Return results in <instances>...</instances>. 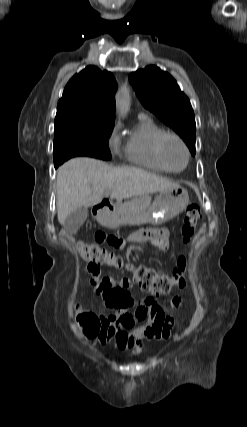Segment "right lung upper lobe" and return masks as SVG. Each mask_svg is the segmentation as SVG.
<instances>
[{
    "instance_id": "cb5924a9",
    "label": "right lung upper lobe",
    "mask_w": 247,
    "mask_h": 427,
    "mask_svg": "<svg viewBox=\"0 0 247 427\" xmlns=\"http://www.w3.org/2000/svg\"><path fill=\"white\" fill-rule=\"evenodd\" d=\"M116 89V80L110 72L88 66L67 83L57 114L74 113L92 121L115 122Z\"/></svg>"
}]
</instances>
